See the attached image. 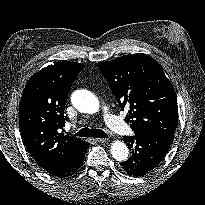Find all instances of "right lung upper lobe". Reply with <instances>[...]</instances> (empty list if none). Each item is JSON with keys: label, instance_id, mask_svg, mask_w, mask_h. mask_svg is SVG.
Returning a JSON list of instances; mask_svg holds the SVG:
<instances>
[{"label": "right lung upper lobe", "instance_id": "1", "mask_svg": "<svg viewBox=\"0 0 205 205\" xmlns=\"http://www.w3.org/2000/svg\"><path fill=\"white\" fill-rule=\"evenodd\" d=\"M84 67L77 62H56L34 74L24 88L19 106L21 137L45 170L59 165L84 143L61 132L70 86Z\"/></svg>", "mask_w": 205, "mask_h": 205}]
</instances>
